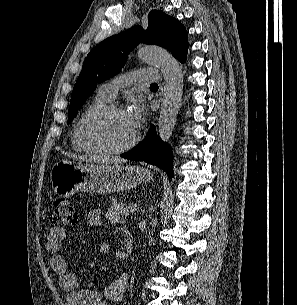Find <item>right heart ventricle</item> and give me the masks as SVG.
I'll list each match as a JSON object with an SVG mask.
<instances>
[{"label": "right heart ventricle", "instance_id": "obj_1", "mask_svg": "<svg viewBox=\"0 0 297 305\" xmlns=\"http://www.w3.org/2000/svg\"><path fill=\"white\" fill-rule=\"evenodd\" d=\"M109 102L108 99L101 96L99 93L95 95V97L87 104V106L83 109L77 121L74 124L72 131V143L73 148L80 152L93 153L94 151L88 148L81 140L79 135V125L82 119L94 109L104 106Z\"/></svg>", "mask_w": 297, "mask_h": 305}]
</instances>
